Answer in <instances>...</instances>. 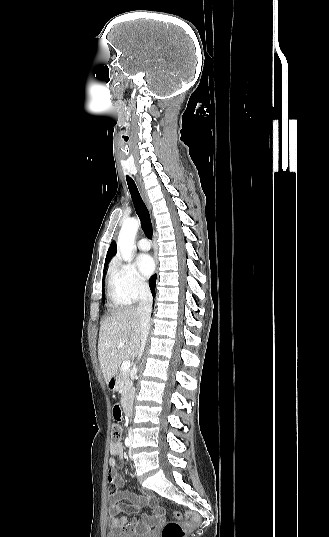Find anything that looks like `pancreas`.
I'll return each mask as SVG.
<instances>
[{
	"mask_svg": "<svg viewBox=\"0 0 329 537\" xmlns=\"http://www.w3.org/2000/svg\"><path fill=\"white\" fill-rule=\"evenodd\" d=\"M116 386L117 389L122 390L123 401H127L133 393L132 382L129 379V371H124L119 369L116 376Z\"/></svg>",
	"mask_w": 329,
	"mask_h": 537,
	"instance_id": "obj_1",
	"label": "pancreas"
}]
</instances>
